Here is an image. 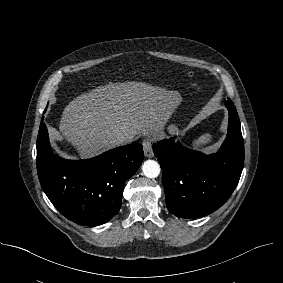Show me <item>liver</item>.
<instances>
[{
	"label": "liver",
	"mask_w": 283,
	"mask_h": 283,
	"mask_svg": "<svg viewBox=\"0 0 283 283\" xmlns=\"http://www.w3.org/2000/svg\"><path fill=\"white\" fill-rule=\"evenodd\" d=\"M177 91L144 82L109 83L73 99L59 124L61 140L80 158H91L114 148L120 135L157 137L181 104Z\"/></svg>",
	"instance_id": "6515ba94"
}]
</instances>
